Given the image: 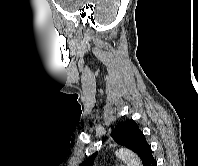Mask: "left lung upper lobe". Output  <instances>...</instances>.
<instances>
[{"label": "left lung upper lobe", "mask_w": 198, "mask_h": 166, "mask_svg": "<svg viewBox=\"0 0 198 166\" xmlns=\"http://www.w3.org/2000/svg\"><path fill=\"white\" fill-rule=\"evenodd\" d=\"M111 136L117 144L123 145L137 153L142 160L143 166H145L152 156L150 145L147 143L137 123L133 120H128L117 126L113 130ZM97 154L98 152L92 154L80 166H93Z\"/></svg>", "instance_id": "left-lung-upper-lobe-1"}]
</instances>
